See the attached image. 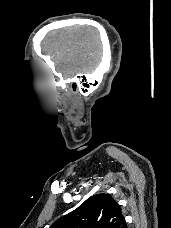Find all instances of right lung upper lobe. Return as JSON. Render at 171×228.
Masks as SVG:
<instances>
[{"mask_svg":"<svg viewBox=\"0 0 171 228\" xmlns=\"http://www.w3.org/2000/svg\"><path fill=\"white\" fill-rule=\"evenodd\" d=\"M50 228H126L119 204L107 194L88 198Z\"/></svg>","mask_w":171,"mask_h":228,"instance_id":"obj_1","label":"right lung upper lobe"}]
</instances>
